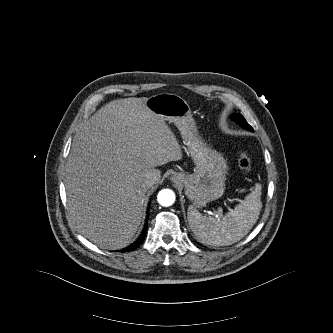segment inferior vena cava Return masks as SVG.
<instances>
[{
	"label": "inferior vena cava",
	"mask_w": 333,
	"mask_h": 333,
	"mask_svg": "<svg viewBox=\"0 0 333 333\" xmlns=\"http://www.w3.org/2000/svg\"><path fill=\"white\" fill-rule=\"evenodd\" d=\"M159 177V172L156 169H153L147 173L145 184L147 186H153L158 181Z\"/></svg>",
	"instance_id": "1"
}]
</instances>
